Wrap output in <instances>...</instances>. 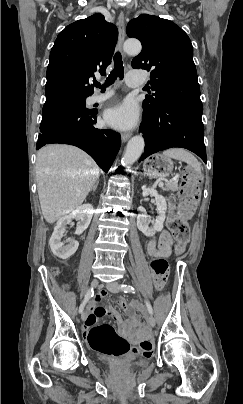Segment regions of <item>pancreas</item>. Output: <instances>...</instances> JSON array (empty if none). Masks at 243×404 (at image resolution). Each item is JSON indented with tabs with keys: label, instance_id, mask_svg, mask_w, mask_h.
<instances>
[{
	"label": "pancreas",
	"instance_id": "obj_1",
	"mask_svg": "<svg viewBox=\"0 0 243 404\" xmlns=\"http://www.w3.org/2000/svg\"><path fill=\"white\" fill-rule=\"evenodd\" d=\"M162 190H167V192H177L178 182H169V184H165V188H162Z\"/></svg>",
	"mask_w": 243,
	"mask_h": 404
}]
</instances>
